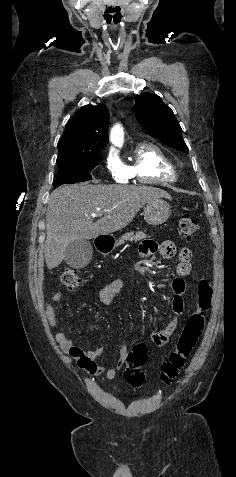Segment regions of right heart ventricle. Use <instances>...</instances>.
<instances>
[{
    "mask_svg": "<svg viewBox=\"0 0 236 477\" xmlns=\"http://www.w3.org/2000/svg\"><path fill=\"white\" fill-rule=\"evenodd\" d=\"M126 167L130 178L142 184H169L177 179L172 161L159 146L150 142L137 147Z\"/></svg>",
    "mask_w": 236,
    "mask_h": 477,
    "instance_id": "right-heart-ventricle-1",
    "label": "right heart ventricle"
}]
</instances>
